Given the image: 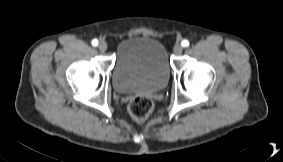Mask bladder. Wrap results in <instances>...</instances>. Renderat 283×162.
Masks as SVG:
<instances>
[{"instance_id": "1", "label": "bladder", "mask_w": 283, "mask_h": 162, "mask_svg": "<svg viewBox=\"0 0 283 162\" xmlns=\"http://www.w3.org/2000/svg\"><path fill=\"white\" fill-rule=\"evenodd\" d=\"M170 71L166 48L159 40L132 36L117 46L112 85L123 94L159 91L167 85Z\"/></svg>"}]
</instances>
